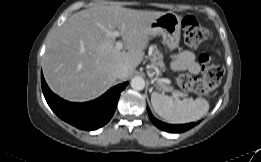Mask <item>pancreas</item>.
I'll list each match as a JSON object with an SVG mask.
<instances>
[{"label":"pancreas","instance_id":"1","mask_svg":"<svg viewBox=\"0 0 261 162\" xmlns=\"http://www.w3.org/2000/svg\"><path fill=\"white\" fill-rule=\"evenodd\" d=\"M163 56L156 46H152V54L150 56L151 65L154 67H159L160 70H164V63L162 60ZM156 88L158 90L168 91L170 88L165 83H157ZM181 96L184 94L179 92Z\"/></svg>","mask_w":261,"mask_h":162}]
</instances>
